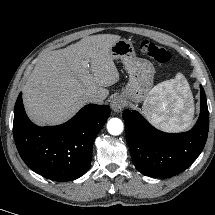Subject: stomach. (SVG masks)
I'll return each mask as SVG.
<instances>
[{
    "instance_id": "obj_1",
    "label": "stomach",
    "mask_w": 215,
    "mask_h": 215,
    "mask_svg": "<svg viewBox=\"0 0 215 215\" xmlns=\"http://www.w3.org/2000/svg\"><path fill=\"white\" fill-rule=\"evenodd\" d=\"M113 59H120L129 74L122 96L134 103L146 100L153 86L155 69L152 63L136 56L132 43L126 39L116 41L110 48Z\"/></svg>"
}]
</instances>
